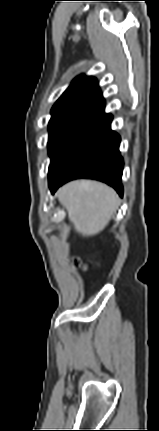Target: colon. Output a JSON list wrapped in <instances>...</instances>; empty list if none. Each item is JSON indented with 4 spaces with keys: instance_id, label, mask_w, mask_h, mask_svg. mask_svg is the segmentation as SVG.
I'll return each instance as SVG.
<instances>
[{
    "instance_id": "1",
    "label": "colon",
    "mask_w": 159,
    "mask_h": 431,
    "mask_svg": "<svg viewBox=\"0 0 159 431\" xmlns=\"http://www.w3.org/2000/svg\"><path fill=\"white\" fill-rule=\"evenodd\" d=\"M75 264H76V266L77 267H79V268H82V269H85L86 267H85V265L80 261V260H76L75 261Z\"/></svg>"
}]
</instances>
